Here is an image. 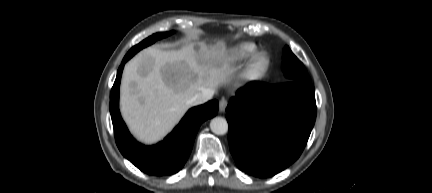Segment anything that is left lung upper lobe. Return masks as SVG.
I'll return each instance as SVG.
<instances>
[{
	"mask_svg": "<svg viewBox=\"0 0 432 193\" xmlns=\"http://www.w3.org/2000/svg\"><path fill=\"white\" fill-rule=\"evenodd\" d=\"M282 70L284 72V75L290 81L311 82V79L304 65L292 53L288 46H285L283 49Z\"/></svg>",
	"mask_w": 432,
	"mask_h": 193,
	"instance_id": "1",
	"label": "left lung upper lobe"
}]
</instances>
